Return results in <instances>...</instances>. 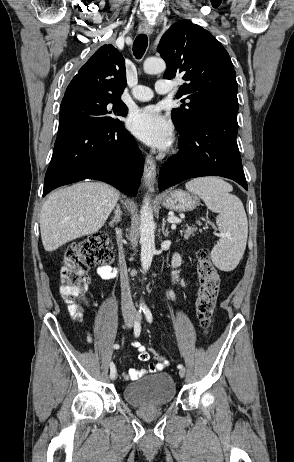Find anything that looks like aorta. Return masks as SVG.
<instances>
[{"mask_svg":"<svg viewBox=\"0 0 294 462\" xmlns=\"http://www.w3.org/2000/svg\"><path fill=\"white\" fill-rule=\"evenodd\" d=\"M144 72L147 74H157L165 71L166 64L161 58H147L143 64ZM140 244H141V264L145 273L151 266L155 253V223L153 213L149 203V197L143 201L140 210Z\"/></svg>","mask_w":294,"mask_h":462,"instance_id":"762f6f07","label":"aorta"}]
</instances>
